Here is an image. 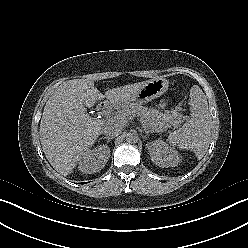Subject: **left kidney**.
<instances>
[{
  "instance_id": "left-kidney-1",
  "label": "left kidney",
  "mask_w": 248,
  "mask_h": 248,
  "mask_svg": "<svg viewBox=\"0 0 248 248\" xmlns=\"http://www.w3.org/2000/svg\"><path fill=\"white\" fill-rule=\"evenodd\" d=\"M146 147L153 163L160 167H175L182 160L177 151L161 140L149 142Z\"/></svg>"
}]
</instances>
